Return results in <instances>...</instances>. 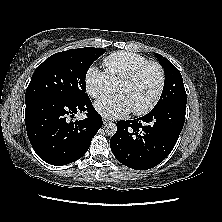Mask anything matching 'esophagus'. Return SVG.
I'll return each instance as SVG.
<instances>
[{
	"instance_id": "34e87169",
	"label": "esophagus",
	"mask_w": 222,
	"mask_h": 222,
	"mask_svg": "<svg viewBox=\"0 0 222 222\" xmlns=\"http://www.w3.org/2000/svg\"><path fill=\"white\" fill-rule=\"evenodd\" d=\"M111 121L110 120H108V119H103V123L104 124H107V123H110Z\"/></svg>"
}]
</instances>
